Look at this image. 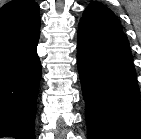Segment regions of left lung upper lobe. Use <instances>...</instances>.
I'll use <instances>...</instances> for the list:
<instances>
[{"label": "left lung upper lobe", "instance_id": "5c2ea615", "mask_svg": "<svg viewBox=\"0 0 141 139\" xmlns=\"http://www.w3.org/2000/svg\"><path fill=\"white\" fill-rule=\"evenodd\" d=\"M81 19L99 27L122 32V26L116 15L105 5L97 1L90 3Z\"/></svg>", "mask_w": 141, "mask_h": 139}]
</instances>
